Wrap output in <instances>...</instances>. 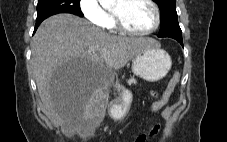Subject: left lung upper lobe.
Listing matches in <instances>:
<instances>
[{
  "label": "left lung upper lobe",
  "instance_id": "5c2ea615",
  "mask_svg": "<svg viewBox=\"0 0 227 142\" xmlns=\"http://www.w3.org/2000/svg\"><path fill=\"white\" fill-rule=\"evenodd\" d=\"M160 8L159 37H173L182 39V31L178 24L176 0H155Z\"/></svg>",
  "mask_w": 227,
  "mask_h": 142
}]
</instances>
